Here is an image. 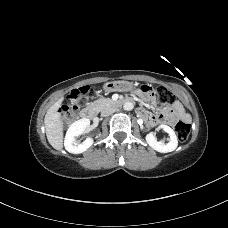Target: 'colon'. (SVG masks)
<instances>
[{
    "label": "colon",
    "instance_id": "5ec220e1",
    "mask_svg": "<svg viewBox=\"0 0 228 228\" xmlns=\"http://www.w3.org/2000/svg\"><path fill=\"white\" fill-rule=\"evenodd\" d=\"M141 91L144 93H150L152 91V88L148 85H143L141 87ZM89 93H91L90 86H82L72 90L68 95L66 103L63 104L59 110L63 118L66 120L73 119L79 108L80 98L83 95ZM155 95L158 103L163 106L171 105L175 101L174 94L169 89L163 86L157 87L155 89ZM175 130L180 141L184 142L189 138L190 125L187 122L179 121L175 126Z\"/></svg>",
    "mask_w": 228,
    "mask_h": 228
}]
</instances>
